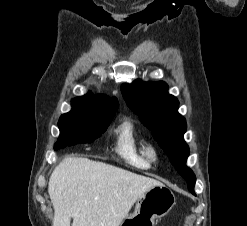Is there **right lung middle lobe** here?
I'll return each mask as SVG.
<instances>
[{
	"label": "right lung middle lobe",
	"instance_id": "1",
	"mask_svg": "<svg viewBox=\"0 0 247 226\" xmlns=\"http://www.w3.org/2000/svg\"><path fill=\"white\" fill-rule=\"evenodd\" d=\"M112 117L99 116L97 106L92 101L83 97L73 99L72 110L59 119L60 136L54 149L94 141L107 129Z\"/></svg>",
	"mask_w": 247,
	"mask_h": 226
}]
</instances>
